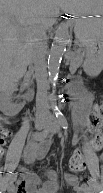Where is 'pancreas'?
Returning a JSON list of instances; mask_svg holds the SVG:
<instances>
[{
	"instance_id": "cf45deb5",
	"label": "pancreas",
	"mask_w": 103,
	"mask_h": 193,
	"mask_svg": "<svg viewBox=\"0 0 103 193\" xmlns=\"http://www.w3.org/2000/svg\"><path fill=\"white\" fill-rule=\"evenodd\" d=\"M77 51H78V55H79V57H82V56H83V54L81 53V50H80V49H78Z\"/></svg>"
}]
</instances>
